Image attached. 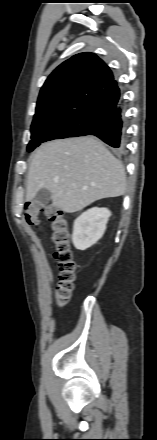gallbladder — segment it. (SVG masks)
Wrapping results in <instances>:
<instances>
[{"label":"gallbladder","mask_w":157,"mask_h":440,"mask_svg":"<svg viewBox=\"0 0 157 440\" xmlns=\"http://www.w3.org/2000/svg\"><path fill=\"white\" fill-rule=\"evenodd\" d=\"M35 200L40 206H47L51 201L50 191L47 189L39 190L35 196Z\"/></svg>","instance_id":"gallbladder-1"}]
</instances>
